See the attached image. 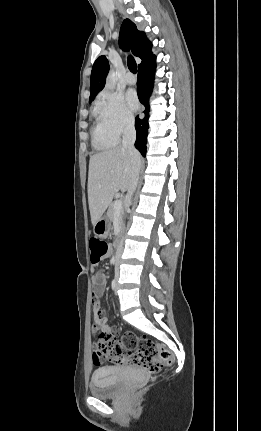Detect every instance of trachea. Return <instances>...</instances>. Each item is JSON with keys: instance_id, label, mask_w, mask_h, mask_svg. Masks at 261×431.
I'll use <instances>...</instances> for the list:
<instances>
[{"instance_id": "trachea-1", "label": "trachea", "mask_w": 261, "mask_h": 431, "mask_svg": "<svg viewBox=\"0 0 261 431\" xmlns=\"http://www.w3.org/2000/svg\"><path fill=\"white\" fill-rule=\"evenodd\" d=\"M128 68L132 73H137V64L132 56L128 57L127 60Z\"/></svg>"}]
</instances>
